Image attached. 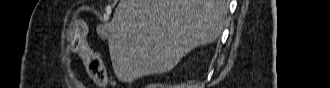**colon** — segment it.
<instances>
[{
	"label": "colon",
	"mask_w": 330,
	"mask_h": 88,
	"mask_svg": "<svg viewBox=\"0 0 330 88\" xmlns=\"http://www.w3.org/2000/svg\"><path fill=\"white\" fill-rule=\"evenodd\" d=\"M67 39L72 51L82 54L86 72L95 83L99 85L113 84L105 70L100 54L87 46L79 24L68 29Z\"/></svg>",
	"instance_id": "5ec220e1"
}]
</instances>
